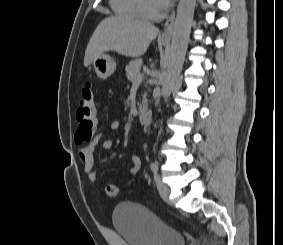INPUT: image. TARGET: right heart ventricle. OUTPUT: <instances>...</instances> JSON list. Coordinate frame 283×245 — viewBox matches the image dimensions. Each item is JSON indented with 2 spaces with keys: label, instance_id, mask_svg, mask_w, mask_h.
I'll list each match as a JSON object with an SVG mask.
<instances>
[{
  "label": "right heart ventricle",
  "instance_id": "1",
  "mask_svg": "<svg viewBox=\"0 0 283 245\" xmlns=\"http://www.w3.org/2000/svg\"><path fill=\"white\" fill-rule=\"evenodd\" d=\"M112 10L120 16L138 17L137 0H109Z\"/></svg>",
  "mask_w": 283,
  "mask_h": 245
}]
</instances>
